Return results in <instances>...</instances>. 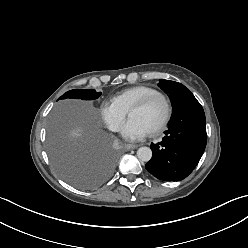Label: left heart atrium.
<instances>
[{
    "label": "left heart atrium",
    "instance_id": "1",
    "mask_svg": "<svg viewBox=\"0 0 248 248\" xmlns=\"http://www.w3.org/2000/svg\"><path fill=\"white\" fill-rule=\"evenodd\" d=\"M121 133L128 140H140L147 135L148 130L139 121L129 119L122 127Z\"/></svg>",
    "mask_w": 248,
    "mask_h": 248
}]
</instances>
